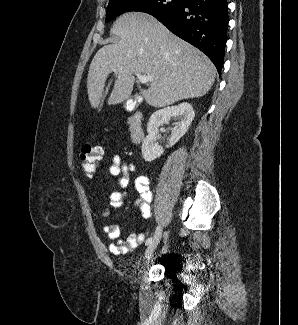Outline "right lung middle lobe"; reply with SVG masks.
<instances>
[{
  "label": "right lung middle lobe",
  "mask_w": 298,
  "mask_h": 325,
  "mask_svg": "<svg viewBox=\"0 0 298 325\" xmlns=\"http://www.w3.org/2000/svg\"><path fill=\"white\" fill-rule=\"evenodd\" d=\"M186 0H113L106 10L105 22L129 11L146 12L153 16L167 10L181 7Z\"/></svg>",
  "instance_id": "right-lung-middle-lobe-1"
}]
</instances>
